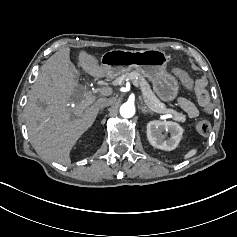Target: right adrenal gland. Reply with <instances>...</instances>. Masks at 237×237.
<instances>
[{"label":"right adrenal gland","mask_w":237,"mask_h":237,"mask_svg":"<svg viewBox=\"0 0 237 237\" xmlns=\"http://www.w3.org/2000/svg\"><path fill=\"white\" fill-rule=\"evenodd\" d=\"M103 112H104V109H101L100 112H99V114H102Z\"/></svg>","instance_id":"1"}]
</instances>
